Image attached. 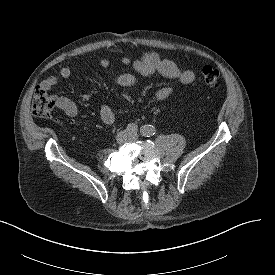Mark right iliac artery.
<instances>
[{"instance_id": "82829eb1", "label": "right iliac artery", "mask_w": 275, "mask_h": 275, "mask_svg": "<svg viewBox=\"0 0 275 275\" xmlns=\"http://www.w3.org/2000/svg\"><path fill=\"white\" fill-rule=\"evenodd\" d=\"M126 130H127L129 133L136 134L137 131H138V128H137V125L131 123V124H128Z\"/></svg>"}]
</instances>
